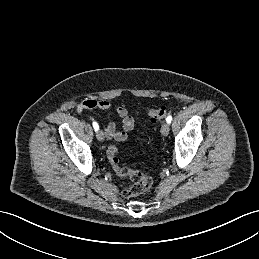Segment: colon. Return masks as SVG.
Segmentation results:
<instances>
[{"label":"colon","instance_id":"1","mask_svg":"<svg viewBox=\"0 0 259 259\" xmlns=\"http://www.w3.org/2000/svg\"><path fill=\"white\" fill-rule=\"evenodd\" d=\"M167 114L168 110L165 107L152 108L148 112L149 119L153 123L162 121ZM107 158L118 176L128 177L132 181V185L123 191V195L125 197L142 195L150 189L152 185L150 176L138 170L128 169L120 166L119 151L115 145H111L107 148Z\"/></svg>","mask_w":259,"mask_h":259}]
</instances>
